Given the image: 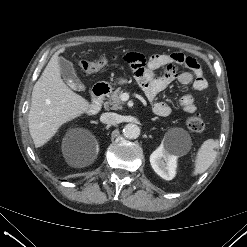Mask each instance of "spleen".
<instances>
[{"mask_svg": "<svg viewBox=\"0 0 247 247\" xmlns=\"http://www.w3.org/2000/svg\"><path fill=\"white\" fill-rule=\"evenodd\" d=\"M217 147L218 140L207 139L203 142L196 155L193 175L202 174L211 166L217 155Z\"/></svg>", "mask_w": 247, "mask_h": 247, "instance_id": "obj_1", "label": "spleen"}]
</instances>
